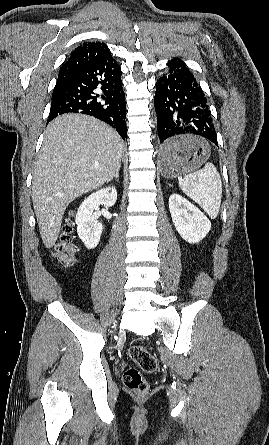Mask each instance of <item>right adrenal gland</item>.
<instances>
[{
  "label": "right adrenal gland",
  "mask_w": 269,
  "mask_h": 445,
  "mask_svg": "<svg viewBox=\"0 0 269 445\" xmlns=\"http://www.w3.org/2000/svg\"><path fill=\"white\" fill-rule=\"evenodd\" d=\"M119 170H120V167L116 170L115 174H114L113 177L110 179V181H111L113 178H116L117 180L119 179Z\"/></svg>",
  "instance_id": "1"
}]
</instances>
